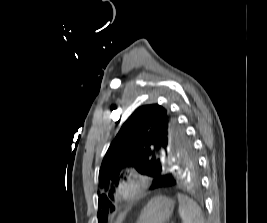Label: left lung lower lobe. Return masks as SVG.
I'll return each mask as SVG.
<instances>
[{"label": "left lung lower lobe", "instance_id": "1", "mask_svg": "<svg viewBox=\"0 0 267 223\" xmlns=\"http://www.w3.org/2000/svg\"><path fill=\"white\" fill-rule=\"evenodd\" d=\"M201 171H169V173H154L158 178L151 185L152 192L164 194H183L184 189H198Z\"/></svg>", "mask_w": 267, "mask_h": 223}]
</instances>
